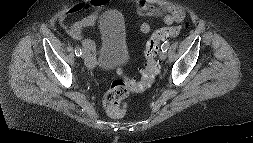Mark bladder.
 <instances>
[{
    "mask_svg": "<svg viewBox=\"0 0 253 143\" xmlns=\"http://www.w3.org/2000/svg\"><path fill=\"white\" fill-rule=\"evenodd\" d=\"M98 25L99 49L96 66L108 71L131 58L123 14L117 9H109L100 16Z\"/></svg>",
    "mask_w": 253,
    "mask_h": 143,
    "instance_id": "1",
    "label": "bladder"
}]
</instances>
